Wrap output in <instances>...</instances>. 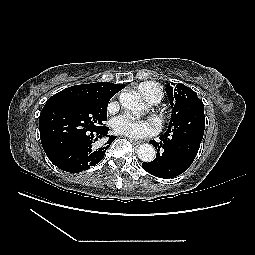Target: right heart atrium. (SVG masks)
<instances>
[{
  "instance_id": "d8ad5b80",
  "label": "right heart atrium",
  "mask_w": 255,
  "mask_h": 255,
  "mask_svg": "<svg viewBox=\"0 0 255 255\" xmlns=\"http://www.w3.org/2000/svg\"><path fill=\"white\" fill-rule=\"evenodd\" d=\"M113 105H114V104H113V103H111V104H110V107H112Z\"/></svg>"
}]
</instances>
